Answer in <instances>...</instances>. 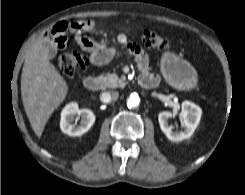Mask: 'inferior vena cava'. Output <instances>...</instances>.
Returning a JSON list of instances; mask_svg holds the SVG:
<instances>
[{
  "label": "inferior vena cava",
  "instance_id": "602c4592",
  "mask_svg": "<svg viewBox=\"0 0 245 195\" xmlns=\"http://www.w3.org/2000/svg\"><path fill=\"white\" fill-rule=\"evenodd\" d=\"M101 97L105 102L116 101L119 97V93L117 91L104 92Z\"/></svg>",
  "mask_w": 245,
  "mask_h": 195
}]
</instances>
